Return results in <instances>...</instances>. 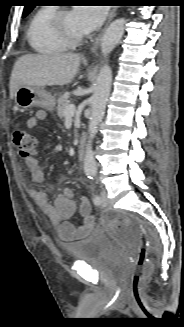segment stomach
<instances>
[{
    "mask_svg": "<svg viewBox=\"0 0 184 327\" xmlns=\"http://www.w3.org/2000/svg\"><path fill=\"white\" fill-rule=\"evenodd\" d=\"M16 107L28 109L30 107H41L53 111L56 99L43 87L20 86L14 97Z\"/></svg>",
    "mask_w": 184,
    "mask_h": 327,
    "instance_id": "stomach-1",
    "label": "stomach"
}]
</instances>
